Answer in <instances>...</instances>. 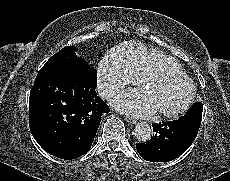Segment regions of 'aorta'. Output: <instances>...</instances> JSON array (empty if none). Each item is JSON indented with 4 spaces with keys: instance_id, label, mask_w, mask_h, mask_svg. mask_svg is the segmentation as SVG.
I'll list each match as a JSON object with an SVG mask.
<instances>
[{
    "instance_id": "1",
    "label": "aorta",
    "mask_w": 230,
    "mask_h": 181,
    "mask_svg": "<svg viewBox=\"0 0 230 181\" xmlns=\"http://www.w3.org/2000/svg\"><path fill=\"white\" fill-rule=\"evenodd\" d=\"M134 135L139 142L147 143L153 135L152 127L147 122H138L134 128Z\"/></svg>"
}]
</instances>
